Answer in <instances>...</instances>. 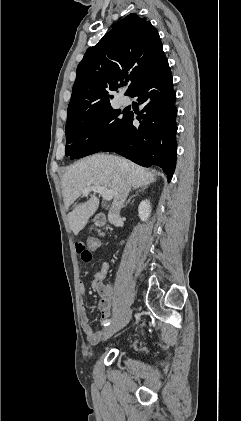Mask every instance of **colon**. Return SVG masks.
Wrapping results in <instances>:
<instances>
[{"label": "colon", "mask_w": 241, "mask_h": 421, "mask_svg": "<svg viewBox=\"0 0 241 421\" xmlns=\"http://www.w3.org/2000/svg\"><path fill=\"white\" fill-rule=\"evenodd\" d=\"M98 247V241L91 239L87 242H77L75 244L76 252L84 262H89L92 259V251Z\"/></svg>", "instance_id": "colon-1"}]
</instances>
